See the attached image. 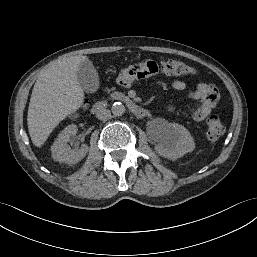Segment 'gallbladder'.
<instances>
[{
	"mask_svg": "<svg viewBox=\"0 0 257 257\" xmlns=\"http://www.w3.org/2000/svg\"><path fill=\"white\" fill-rule=\"evenodd\" d=\"M77 79L81 88L87 93H94L99 88V76L92 62H82L77 71Z\"/></svg>",
	"mask_w": 257,
	"mask_h": 257,
	"instance_id": "bac80fb5",
	"label": "gallbladder"
}]
</instances>
